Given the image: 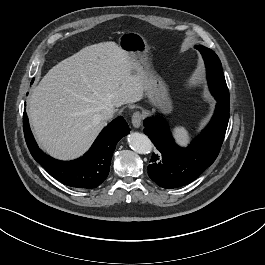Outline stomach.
<instances>
[{
    "label": "stomach",
    "mask_w": 265,
    "mask_h": 265,
    "mask_svg": "<svg viewBox=\"0 0 265 265\" xmlns=\"http://www.w3.org/2000/svg\"><path fill=\"white\" fill-rule=\"evenodd\" d=\"M119 46L134 57L141 65L146 77V95L150 102L167 114L172 110V102L169 98L165 83L149 70L148 45L145 38L136 32H127L119 38Z\"/></svg>",
    "instance_id": "obj_1"
}]
</instances>
